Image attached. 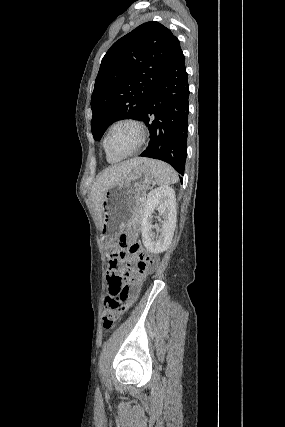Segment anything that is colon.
Masks as SVG:
<instances>
[{
  "label": "colon",
  "mask_w": 285,
  "mask_h": 427,
  "mask_svg": "<svg viewBox=\"0 0 285 427\" xmlns=\"http://www.w3.org/2000/svg\"><path fill=\"white\" fill-rule=\"evenodd\" d=\"M136 231L127 230L124 234L110 245L109 255L111 259H118L120 251L128 247L130 262L122 264L123 269L130 271L128 282L122 274L111 273L107 276L111 294L105 299V313L103 316V327L111 330L117 319V312L126 301H133L139 291V287L152 270L153 260L143 252L137 242H132Z\"/></svg>",
  "instance_id": "obj_1"
}]
</instances>
